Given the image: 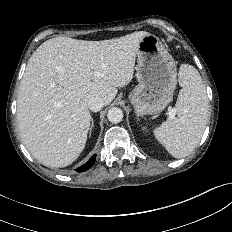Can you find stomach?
Listing matches in <instances>:
<instances>
[{"mask_svg": "<svg viewBox=\"0 0 232 232\" xmlns=\"http://www.w3.org/2000/svg\"><path fill=\"white\" fill-rule=\"evenodd\" d=\"M138 85L129 100L138 116L161 112L172 100L177 85V68L173 57L155 35L145 36L137 52Z\"/></svg>", "mask_w": 232, "mask_h": 232, "instance_id": "stomach-1", "label": "stomach"}]
</instances>
